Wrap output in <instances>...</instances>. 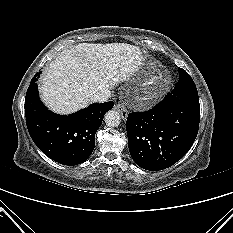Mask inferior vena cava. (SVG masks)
<instances>
[{
    "label": "inferior vena cava",
    "mask_w": 233,
    "mask_h": 233,
    "mask_svg": "<svg viewBox=\"0 0 233 233\" xmlns=\"http://www.w3.org/2000/svg\"><path fill=\"white\" fill-rule=\"evenodd\" d=\"M111 96L109 89H103L92 96V101L97 103L106 102Z\"/></svg>",
    "instance_id": "1"
}]
</instances>
